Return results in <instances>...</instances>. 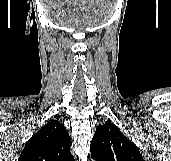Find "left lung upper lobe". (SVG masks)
Instances as JSON below:
<instances>
[{"label": "left lung upper lobe", "mask_w": 171, "mask_h": 161, "mask_svg": "<svg viewBox=\"0 0 171 161\" xmlns=\"http://www.w3.org/2000/svg\"><path fill=\"white\" fill-rule=\"evenodd\" d=\"M90 149L96 161H144L134 143L111 122L97 128Z\"/></svg>", "instance_id": "left-lung-upper-lobe-1"}]
</instances>
